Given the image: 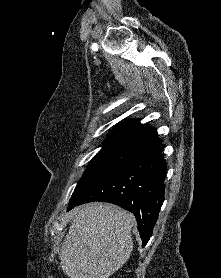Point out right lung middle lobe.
<instances>
[{
	"mask_svg": "<svg viewBox=\"0 0 221 278\" xmlns=\"http://www.w3.org/2000/svg\"><path fill=\"white\" fill-rule=\"evenodd\" d=\"M134 153L135 148L129 145L113 141L104 142L103 148L90 161L78 182L70 199L69 207L79 201L101 179L129 162L134 157Z\"/></svg>",
	"mask_w": 221,
	"mask_h": 278,
	"instance_id": "right-lung-middle-lobe-1",
	"label": "right lung middle lobe"
}]
</instances>
